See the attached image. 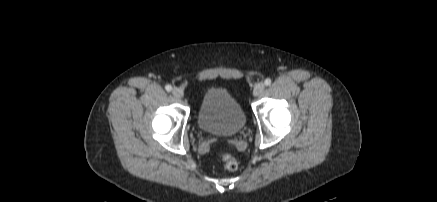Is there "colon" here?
Wrapping results in <instances>:
<instances>
[{"instance_id":"colon-1","label":"colon","mask_w":437,"mask_h":202,"mask_svg":"<svg viewBox=\"0 0 437 202\" xmlns=\"http://www.w3.org/2000/svg\"><path fill=\"white\" fill-rule=\"evenodd\" d=\"M221 159L228 170L235 171L238 169L239 162L232 154L227 152L221 153Z\"/></svg>"}]
</instances>
